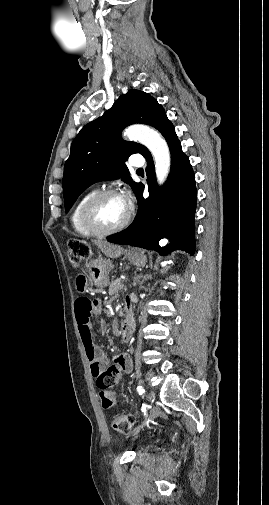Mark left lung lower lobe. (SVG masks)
<instances>
[{
    "instance_id": "left-lung-lower-lobe-1",
    "label": "left lung lower lobe",
    "mask_w": 269,
    "mask_h": 505,
    "mask_svg": "<svg viewBox=\"0 0 269 505\" xmlns=\"http://www.w3.org/2000/svg\"><path fill=\"white\" fill-rule=\"evenodd\" d=\"M155 128L166 139L171 152V171L165 185L157 186L151 153L147 160V183L150 196L143 198L141 184L136 196L138 211L134 222L109 242L131 245L167 253L172 250L195 252V222L197 190L195 176L188 157L182 152L181 144L170 120L165 116ZM171 236L170 245L159 246V240Z\"/></svg>"
}]
</instances>
